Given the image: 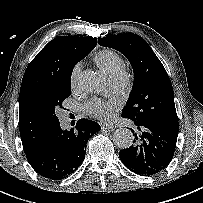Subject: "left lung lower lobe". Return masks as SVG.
I'll list each match as a JSON object with an SVG mask.
<instances>
[{
  "mask_svg": "<svg viewBox=\"0 0 203 203\" xmlns=\"http://www.w3.org/2000/svg\"><path fill=\"white\" fill-rule=\"evenodd\" d=\"M134 145L120 150L122 163L132 172L151 176L164 170L176 148L179 123H160L155 120L134 122Z\"/></svg>",
  "mask_w": 203,
  "mask_h": 203,
  "instance_id": "0a47b994",
  "label": "left lung lower lobe"
}]
</instances>
